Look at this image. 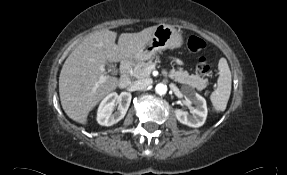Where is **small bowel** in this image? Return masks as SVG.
<instances>
[{"label":"small bowel","instance_id":"small-bowel-1","mask_svg":"<svg viewBox=\"0 0 287 175\" xmlns=\"http://www.w3.org/2000/svg\"><path fill=\"white\" fill-rule=\"evenodd\" d=\"M176 62H177V63H180V60L177 59Z\"/></svg>","mask_w":287,"mask_h":175}]
</instances>
